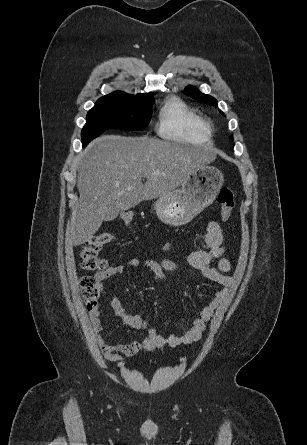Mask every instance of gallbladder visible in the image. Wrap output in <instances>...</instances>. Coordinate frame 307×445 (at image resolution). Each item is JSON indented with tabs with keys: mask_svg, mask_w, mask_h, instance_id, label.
<instances>
[{
	"mask_svg": "<svg viewBox=\"0 0 307 445\" xmlns=\"http://www.w3.org/2000/svg\"><path fill=\"white\" fill-rule=\"evenodd\" d=\"M114 209H115V206L113 204H109L108 206H106V208H105V211H106L105 220H106V222L111 223V222H113V220L115 218H117L118 213Z\"/></svg>",
	"mask_w": 307,
	"mask_h": 445,
	"instance_id": "1",
	"label": "gallbladder"
}]
</instances>
